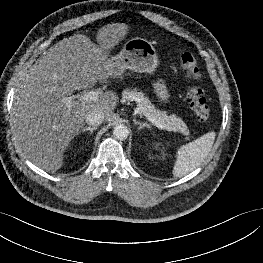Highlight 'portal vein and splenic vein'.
Masks as SVG:
<instances>
[{"label":"portal vein and splenic vein","instance_id":"obj_1","mask_svg":"<svg viewBox=\"0 0 263 263\" xmlns=\"http://www.w3.org/2000/svg\"><path fill=\"white\" fill-rule=\"evenodd\" d=\"M98 97H99V92L88 91V92H85L83 95H81L79 97V99L83 100V101H88V100L94 101V100L98 99ZM145 117L148 119V121H150L156 127L163 129V125L159 122V120H157L156 118H153L147 114L145 115Z\"/></svg>","mask_w":263,"mask_h":263}]
</instances>
